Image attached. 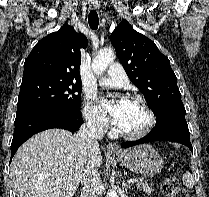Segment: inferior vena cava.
<instances>
[{
	"instance_id": "inferior-vena-cava-1",
	"label": "inferior vena cava",
	"mask_w": 209,
	"mask_h": 197,
	"mask_svg": "<svg viewBox=\"0 0 209 197\" xmlns=\"http://www.w3.org/2000/svg\"><path fill=\"white\" fill-rule=\"evenodd\" d=\"M104 122L100 116H92L80 127L77 134L79 140L84 143L88 149L98 146V140L103 138ZM90 156V154H89ZM82 194L81 197H101L100 174L94 164L85 167L82 176Z\"/></svg>"
}]
</instances>
